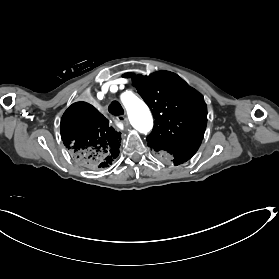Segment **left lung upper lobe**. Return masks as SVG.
Wrapping results in <instances>:
<instances>
[{"mask_svg":"<svg viewBox=\"0 0 279 279\" xmlns=\"http://www.w3.org/2000/svg\"><path fill=\"white\" fill-rule=\"evenodd\" d=\"M132 82L155 118L147 136L148 146L168 155L195 154L206 129L207 108L202 96L182 78L169 71L149 76L123 74Z\"/></svg>","mask_w":279,"mask_h":279,"instance_id":"left-lung-upper-lobe-1","label":"left lung upper lobe"}]
</instances>
